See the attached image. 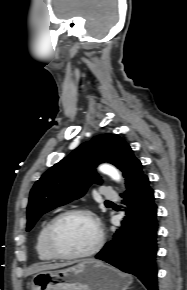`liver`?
Instances as JSON below:
<instances>
[{"instance_id":"obj_1","label":"liver","mask_w":187,"mask_h":290,"mask_svg":"<svg viewBox=\"0 0 187 290\" xmlns=\"http://www.w3.org/2000/svg\"><path fill=\"white\" fill-rule=\"evenodd\" d=\"M71 264L72 263H54V264L34 265L28 269L27 275L43 272L46 270L58 269V268L66 267V266L71 265Z\"/></svg>"}]
</instances>
